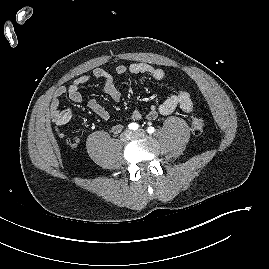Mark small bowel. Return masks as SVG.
Wrapping results in <instances>:
<instances>
[{"label": "small bowel", "mask_w": 269, "mask_h": 269, "mask_svg": "<svg viewBox=\"0 0 269 269\" xmlns=\"http://www.w3.org/2000/svg\"><path fill=\"white\" fill-rule=\"evenodd\" d=\"M115 73L119 76L131 74L135 78L144 76L155 81H164L166 79V73L162 69L142 62H135L128 66L119 65L116 67ZM93 76L103 81V89L111 99L115 101L120 100L121 92L116 87L114 77L111 73L102 68H96L93 71ZM90 79L91 76L82 75L74 79L67 87L60 86L55 90L50 102V113L51 117L57 124L66 125L64 122L65 115H68L71 118V114L68 111L60 109V98L67 95L71 101L81 103L83 101V97L79 89L82 85L88 83ZM87 106L102 120L109 119V112L96 99H89ZM177 108L187 114L192 111L193 102L189 92L181 90L169 96L158 106H151L146 113V117L149 120H154L158 117V115H169ZM141 118L142 113L139 110H135L131 115V119L133 121H139ZM121 130L122 125L120 124H115L112 127V132L115 134L119 133Z\"/></svg>", "instance_id": "small-bowel-1"}]
</instances>
